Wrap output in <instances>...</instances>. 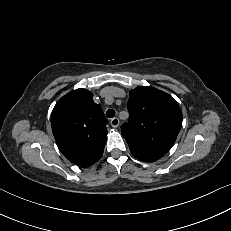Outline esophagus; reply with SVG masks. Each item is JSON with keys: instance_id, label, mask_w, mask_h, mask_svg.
Listing matches in <instances>:
<instances>
[{"instance_id": "obj_1", "label": "esophagus", "mask_w": 231, "mask_h": 231, "mask_svg": "<svg viewBox=\"0 0 231 231\" xmlns=\"http://www.w3.org/2000/svg\"><path fill=\"white\" fill-rule=\"evenodd\" d=\"M110 124L112 127L116 128L119 126L120 121L117 117H115V118L111 119Z\"/></svg>"}]
</instances>
